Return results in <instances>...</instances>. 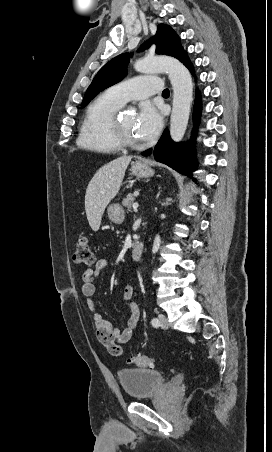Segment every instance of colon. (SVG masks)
<instances>
[{
    "label": "colon",
    "instance_id": "5ec220e1",
    "mask_svg": "<svg viewBox=\"0 0 272 452\" xmlns=\"http://www.w3.org/2000/svg\"><path fill=\"white\" fill-rule=\"evenodd\" d=\"M73 262L79 266H89L94 263V254L91 249L90 241L86 236L78 238L76 249L73 255ZM114 352L123 353L121 348L114 347ZM130 362L140 367H152L154 359L147 355H137L130 359Z\"/></svg>",
    "mask_w": 272,
    "mask_h": 452
}]
</instances>
